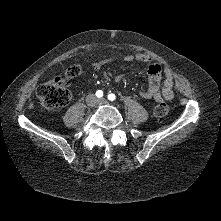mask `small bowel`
<instances>
[{"instance_id":"obj_1","label":"small bowel","mask_w":221,"mask_h":221,"mask_svg":"<svg viewBox=\"0 0 221 221\" xmlns=\"http://www.w3.org/2000/svg\"><path fill=\"white\" fill-rule=\"evenodd\" d=\"M114 57H103L92 63L94 69H99L104 64L114 61ZM126 62H142L148 65L149 83L148 86L140 92L142 98L156 102L169 101L173 98L174 78L169 70H163L162 67L154 63L150 56L146 54H129L122 57ZM124 79V75H118L115 78L117 83ZM162 84V86H161Z\"/></svg>"}]
</instances>
